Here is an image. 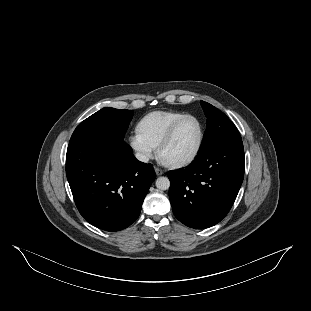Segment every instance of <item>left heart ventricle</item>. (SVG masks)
I'll return each instance as SVG.
<instances>
[{"label": "left heart ventricle", "mask_w": 311, "mask_h": 311, "mask_svg": "<svg viewBox=\"0 0 311 311\" xmlns=\"http://www.w3.org/2000/svg\"><path fill=\"white\" fill-rule=\"evenodd\" d=\"M201 126L197 119L189 118L178 128L172 143L163 151L166 162H179L190 158L197 149Z\"/></svg>", "instance_id": "obj_1"}]
</instances>
